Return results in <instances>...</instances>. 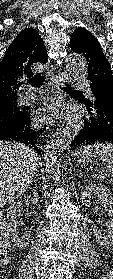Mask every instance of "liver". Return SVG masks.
Segmentation results:
<instances>
[{
	"label": "liver",
	"mask_w": 113,
	"mask_h": 279,
	"mask_svg": "<svg viewBox=\"0 0 113 279\" xmlns=\"http://www.w3.org/2000/svg\"><path fill=\"white\" fill-rule=\"evenodd\" d=\"M38 163V155L25 144L0 141V207L24 194Z\"/></svg>",
	"instance_id": "obj_1"
}]
</instances>
